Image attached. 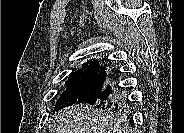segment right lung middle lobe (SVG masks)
<instances>
[{"label": "right lung middle lobe", "mask_w": 184, "mask_h": 133, "mask_svg": "<svg viewBox=\"0 0 184 133\" xmlns=\"http://www.w3.org/2000/svg\"><path fill=\"white\" fill-rule=\"evenodd\" d=\"M104 75H93L84 78H69L66 81V90L61 94L54 111L79 103H92L93 100L104 89ZM100 111L108 112L114 116L123 115L126 110L125 104L115 105L113 103L96 104Z\"/></svg>", "instance_id": "obj_1"}]
</instances>
